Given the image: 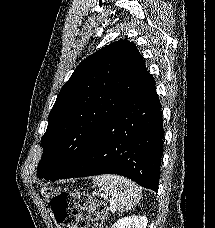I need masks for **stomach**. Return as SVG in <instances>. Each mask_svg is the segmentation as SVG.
<instances>
[{"label":"stomach","mask_w":215,"mask_h":228,"mask_svg":"<svg viewBox=\"0 0 215 228\" xmlns=\"http://www.w3.org/2000/svg\"><path fill=\"white\" fill-rule=\"evenodd\" d=\"M60 190H55V188H43L41 194L46 200V202H51L52 198H55V196H58Z\"/></svg>","instance_id":"stomach-1"}]
</instances>
